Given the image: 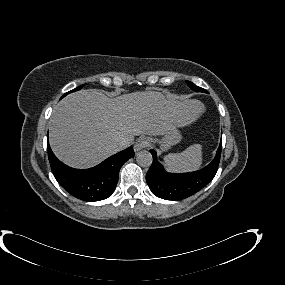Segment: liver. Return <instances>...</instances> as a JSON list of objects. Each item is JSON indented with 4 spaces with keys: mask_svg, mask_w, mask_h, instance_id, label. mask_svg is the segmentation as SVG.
<instances>
[{
    "mask_svg": "<svg viewBox=\"0 0 285 285\" xmlns=\"http://www.w3.org/2000/svg\"><path fill=\"white\" fill-rule=\"evenodd\" d=\"M202 104L160 92H134L108 98L96 89L63 98L49 122L50 146L59 160L76 168L92 167L117 151L113 143L134 136L164 135L190 125Z\"/></svg>",
    "mask_w": 285,
    "mask_h": 285,
    "instance_id": "liver-1",
    "label": "liver"
}]
</instances>
